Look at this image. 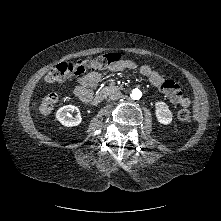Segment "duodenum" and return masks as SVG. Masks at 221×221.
I'll use <instances>...</instances> for the list:
<instances>
[{
    "label": "duodenum",
    "instance_id": "duodenum-1",
    "mask_svg": "<svg viewBox=\"0 0 221 221\" xmlns=\"http://www.w3.org/2000/svg\"><path fill=\"white\" fill-rule=\"evenodd\" d=\"M114 89H117V87L104 88L98 91L95 95H92L86 102L98 103L102 101Z\"/></svg>",
    "mask_w": 221,
    "mask_h": 221
}]
</instances>
